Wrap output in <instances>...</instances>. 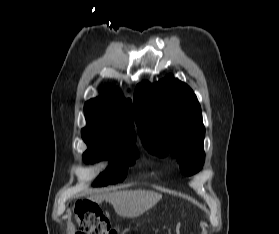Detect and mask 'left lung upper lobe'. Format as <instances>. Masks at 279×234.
Masks as SVG:
<instances>
[{"instance_id": "1", "label": "left lung upper lobe", "mask_w": 279, "mask_h": 234, "mask_svg": "<svg viewBox=\"0 0 279 234\" xmlns=\"http://www.w3.org/2000/svg\"><path fill=\"white\" fill-rule=\"evenodd\" d=\"M133 102L145 148L161 157L168 153L176 157L185 175L197 173L204 164L205 127L191 88L168 75L155 84H138Z\"/></svg>"}]
</instances>
